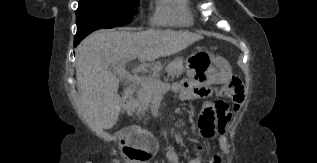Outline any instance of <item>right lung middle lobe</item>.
<instances>
[{
  "label": "right lung middle lobe",
  "mask_w": 317,
  "mask_h": 163,
  "mask_svg": "<svg viewBox=\"0 0 317 163\" xmlns=\"http://www.w3.org/2000/svg\"><path fill=\"white\" fill-rule=\"evenodd\" d=\"M138 5L139 0H80L75 40L98 29L125 25L137 13Z\"/></svg>",
  "instance_id": "1"
}]
</instances>
